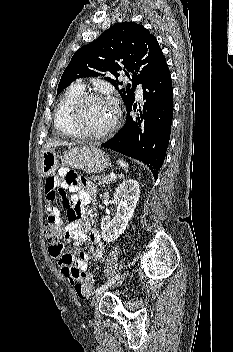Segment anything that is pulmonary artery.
<instances>
[{
  "label": "pulmonary artery",
  "instance_id": "1",
  "mask_svg": "<svg viewBox=\"0 0 233 352\" xmlns=\"http://www.w3.org/2000/svg\"><path fill=\"white\" fill-rule=\"evenodd\" d=\"M80 85H82V84H80ZM82 86H83V85H82ZM142 95H143L142 88H141V86H138V89H137V96L140 98V97H142Z\"/></svg>",
  "mask_w": 233,
  "mask_h": 352
}]
</instances>
